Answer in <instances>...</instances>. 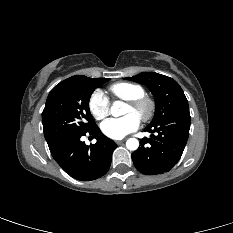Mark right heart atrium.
Returning <instances> with one entry per match:
<instances>
[{
	"mask_svg": "<svg viewBox=\"0 0 233 233\" xmlns=\"http://www.w3.org/2000/svg\"><path fill=\"white\" fill-rule=\"evenodd\" d=\"M88 108L95 119L102 120L110 112V102L100 90H95L89 98Z\"/></svg>",
	"mask_w": 233,
	"mask_h": 233,
	"instance_id": "d8ad5b80",
	"label": "right heart atrium"
}]
</instances>
